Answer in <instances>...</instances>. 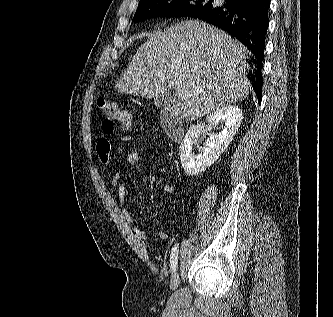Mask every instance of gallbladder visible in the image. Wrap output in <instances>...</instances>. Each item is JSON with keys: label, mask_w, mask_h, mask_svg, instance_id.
Returning <instances> with one entry per match:
<instances>
[{"label": "gallbladder", "mask_w": 333, "mask_h": 317, "mask_svg": "<svg viewBox=\"0 0 333 317\" xmlns=\"http://www.w3.org/2000/svg\"><path fill=\"white\" fill-rule=\"evenodd\" d=\"M172 103V98L170 96H159L154 99V104L158 108L168 109Z\"/></svg>", "instance_id": "obj_1"}]
</instances>
